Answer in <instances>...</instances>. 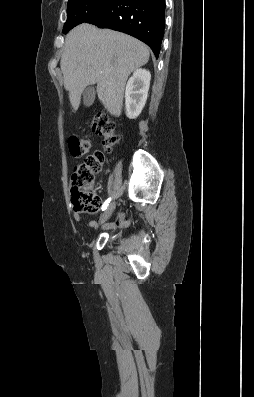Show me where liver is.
Wrapping results in <instances>:
<instances>
[{
	"label": "liver",
	"mask_w": 254,
	"mask_h": 397,
	"mask_svg": "<svg viewBox=\"0 0 254 397\" xmlns=\"http://www.w3.org/2000/svg\"><path fill=\"white\" fill-rule=\"evenodd\" d=\"M148 60L147 46L129 35L86 23L76 26L65 38L60 61L73 109H78L86 86L97 84L99 100L119 117L128 76Z\"/></svg>",
	"instance_id": "liver-1"
}]
</instances>
